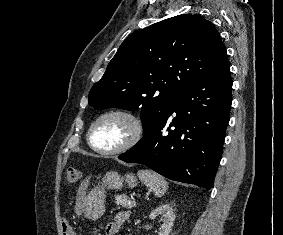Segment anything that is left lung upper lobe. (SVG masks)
<instances>
[{"instance_id":"5c2ea615","label":"left lung upper lobe","mask_w":283,"mask_h":235,"mask_svg":"<svg viewBox=\"0 0 283 235\" xmlns=\"http://www.w3.org/2000/svg\"><path fill=\"white\" fill-rule=\"evenodd\" d=\"M219 32L199 14L165 19L129 35L89 93L95 109H141L144 133L181 91L227 62Z\"/></svg>"}]
</instances>
